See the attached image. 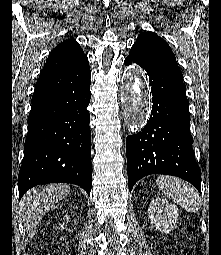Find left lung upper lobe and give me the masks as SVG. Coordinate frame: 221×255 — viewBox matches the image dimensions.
Instances as JSON below:
<instances>
[{
    "mask_svg": "<svg viewBox=\"0 0 221 255\" xmlns=\"http://www.w3.org/2000/svg\"><path fill=\"white\" fill-rule=\"evenodd\" d=\"M131 49L142 52L182 79L178 63L168 43L154 32L141 33Z\"/></svg>",
    "mask_w": 221,
    "mask_h": 255,
    "instance_id": "left-lung-upper-lobe-1",
    "label": "left lung upper lobe"
}]
</instances>
